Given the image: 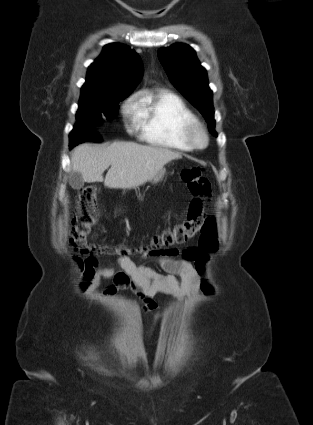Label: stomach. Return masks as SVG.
<instances>
[{
  "instance_id": "obj_1",
  "label": "stomach",
  "mask_w": 313,
  "mask_h": 425,
  "mask_svg": "<svg viewBox=\"0 0 313 425\" xmlns=\"http://www.w3.org/2000/svg\"><path fill=\"white\" fill-rule=\"evenodd\" d=\"M166 170L165 169H161L158 173H156L149 181L152 184H157L158 182L162 181L164 175H165Z\"/></svg>"
}]
</instances>
